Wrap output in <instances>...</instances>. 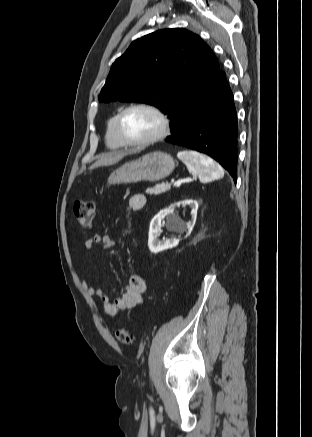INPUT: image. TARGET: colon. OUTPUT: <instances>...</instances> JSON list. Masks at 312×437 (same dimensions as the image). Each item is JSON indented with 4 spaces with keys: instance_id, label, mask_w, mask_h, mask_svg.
Masks as SVG:
<instances>
[{
    "instance_id": "obj_1",
    "label": "colon",
    "mask_w": 312,
    "mask_h": 437,
    "mask_svg": "<svg viewBox=\"0 0 312 437\" xmlns=\"http://www.w3.org/2000/svg\"><path fill=\"white\" fill-rule=\"evenodd\" d=\"M74 214L80 226L90 228L95 216L94 203L89 201H76L74 203ZM116 339L124 345H130L133 342L132 334L126 328L116 330Z\"/></svg>"
}]
</instances>
